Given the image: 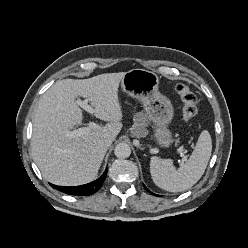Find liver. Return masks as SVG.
Returning <instances> with one entry per match:
<instances>
[{"mask_svg": "<svg viewBox=\"0 0 248 248\" xmlns=\"http://www.w3.org/2000/svg\"><path fill=\"white\" fill-rule=\"evenodd\" d=\"M124 75L105 73L83 80H58L42 95L33 117L31 150L45 180L74 186L95 179L106 153L99 140L114 141L122 129L118 88ZM78 96L90 102L97 118L109 123L71 138L66 133L83 120Z\"/></svg>", "mask_w": 248, "mask_h": 248, "instance_id": "liver-1", "label": "liver"}]
</instances>
